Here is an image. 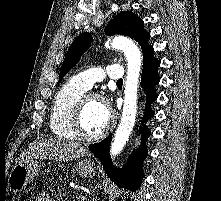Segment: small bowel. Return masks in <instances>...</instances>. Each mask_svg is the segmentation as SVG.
<instances>
[{
  "label": "small bowel",
  "instance_id": "c3829d8e",
  "mask_svg": "<svg viewBox=\"0 0 221 201\" xmlns=\"http://www.w3.org/2000/svg\"><path fill=\"white\" fill-rule=\"evenodd\" d=\"M33 201H54L47 193H39L36 195Z\"/></svg>",
  "mask_w": 221,
  "mask_h": 201
}]
</instances>
